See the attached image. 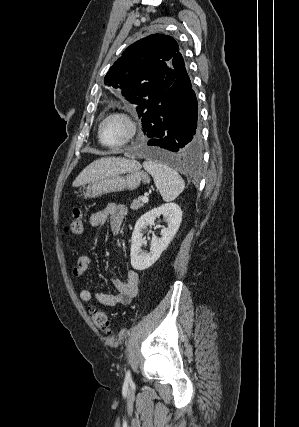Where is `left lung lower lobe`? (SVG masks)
Returning <instances> with one entry per match:
<instances>
[{
  "mask_svg": "<svg viewBox=\"0 0 299 427\" xmlns=\"http://www.w3.org/2000/svg\"><path fill=\"white\" fill-rule=\"evenodd\" d=\"M176 79L141 116L149 141L145 152L172 164L195 159L201 146L198 103L179 50L173 57Z\"/></svg>",
  "mask_w": 299,
  "mask_h": 427,
  "instance_id": "obj_1",
  "label": "left lung lower lobe"
}]
</instances>
